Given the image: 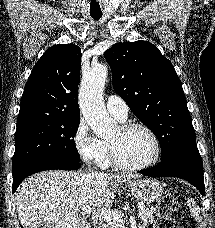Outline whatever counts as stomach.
Segmentation results:
<instances>
[{
    "label": "stomach",
    "mask_w": 215,
    "mask_h": 228,
    "mask_svg": "<svg viewBox=\"0 0 215 228\" xmlns=\"http://www.w3.org/2000/svg\"><path fill=\"white\" fill-rule=\"evenodd\" d=\"M126 184L129 186L132 194L139 198V200H143V202H156L164 194V188L158 180H150V178L136 180V182L134 180H127Z\"/></svg>",
    "instance_id": "stomach-1"
}]
</instances>
